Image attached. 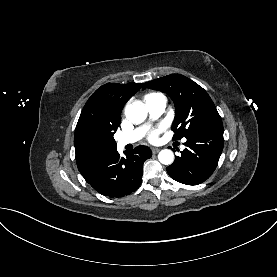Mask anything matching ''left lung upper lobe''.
<instances>
[{"label": "left lung upper lobe", "mask_w": 277, "mask_h": 277, "mask_svg": "<svg viewBox=\"0 0 277 277\" xmlns=\"http://www.w3.org/2000/svg\"><path fill=\"white\" fill-rule=\"evenodd\" d=\"M143 88L167 93L176 108L173 139L188 138L203 130L223 127L221 117L208 93L191 79L171 74L144 84Z\"/></svg>", "instance_id": "left-lung-upper-lobe-1"}]
</instances>
